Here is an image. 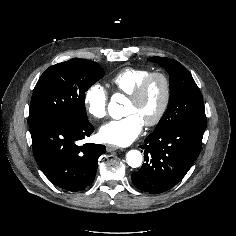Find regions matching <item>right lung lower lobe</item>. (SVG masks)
I'll return each mask as SVG.
<instances>
[{
  "label": "right lung lower lobe",
  "instance_id": "98d812e1",
  "mask_svg": "<svg viewBox=\"0 0 236 236\" xmlns=\"http://www.w3.org/2000/svg\"><path fill=\"white\" fill-rule=\"evenodd\" d=\"M29 129L35 160L54 185L71 192L91 185L98 158L106 149L93 143L76 145L94 131L88 120L33 117L29 118Z\"/></svg>",
  "mask_w": 236,
  "mask_h": 236
}]
</instances>
